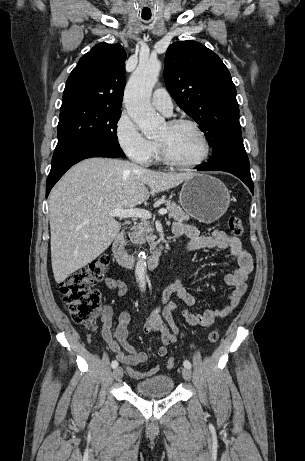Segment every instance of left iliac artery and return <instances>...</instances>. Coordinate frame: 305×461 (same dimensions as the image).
Instances as JSON below:
<instances>
[{"label":"left iliac artery","instance_id":"44dca946","mask_svg":"<svg viewBox=\"0 0 305 461\" xmlns=\"http://www.w3.org/2000/svg\"><path fill=\"white\" fill-rule=\"evenodd\" d=\"M183 365H184V367H186V368H189V369L191 368V363H190L188 360H185V361L183 362Z\"/></svg>","mask_w":305,"mask_h":461}]
</instances>
